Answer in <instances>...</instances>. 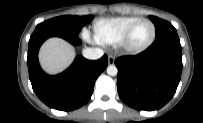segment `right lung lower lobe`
Returning a JSON list of instances; mask_svg holds the SVG:
<instances>
[{"mask_svg": "<svg viewBox=\"0 0 203 123\" xmlns=\"http://www.w3.org/2000/svg\"><path fill=\"white\" fill-rule=\"evenodd\" d=\"M52 36L56 35L40 31L31 35L27 57L29 79L34 92L46 105L61 111L74 110L90 99L97 77L108 65V58L104 55L99 60L90 61L78 56L65 72L49 76L39 65L38 51L41 44ZM62 38L73 45L81 44L77 37Z\"/></svg>", "mask_w": 203, "mask_h": 123, "instance_id": "1", "label": "right lung lower lobe"}]
</instances>
